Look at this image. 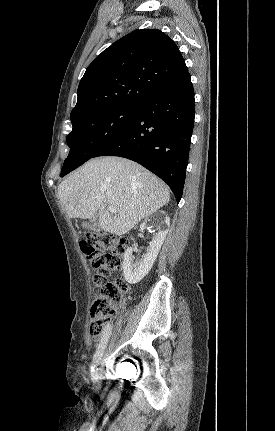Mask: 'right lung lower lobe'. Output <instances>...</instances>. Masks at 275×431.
I'll return each instance as SVG.
<instances>
[{
	"mask_svg": "<svg viewBox=\"0 0 275 431\" xmlns=\"http://www.w3.org/2000/svg\"><path fill=\"white\" fill-rule=\"evenodd\" d=\"M194 90L187 72L139 106L134 120L93 157L113 155L140 163L182 197L194 126Z\"/></svg>",
	"mask_w": 275,
	"mask_h": 431,
	"instance_id": "right-lung-lower-lobe-1",
	"label": "right lung lower lobe"
}]
</instances>
